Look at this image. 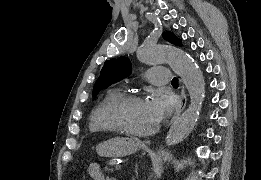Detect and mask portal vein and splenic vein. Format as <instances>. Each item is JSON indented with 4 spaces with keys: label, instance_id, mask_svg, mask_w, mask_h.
Returning <instances> with one entry per match:
<instances>
[{
    "label": "portal vein and splenic vein",
    "instance_id": "1",
    "mask_svg": "<svg viewBox=\"0 0 261 180\" xmlns=\"http://www.w3.org/2000/svg\"><path fill=\"white\" fill-rule=\"evenodd\" d=\"M115 170H122V165H119V162H114Z\"/></svg>",
    "mask_w": 261,
    "mask_h": 180
}]
</instances>
